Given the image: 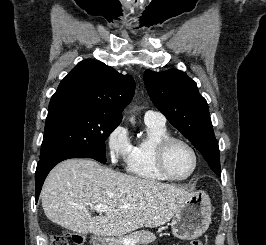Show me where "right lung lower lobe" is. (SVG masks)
I'll list each match as a JSON object with an SVG mask.
<instances>
[{
	"instance_id": "obj_1",
	"label": "right lung lower lobe",
	"mask_w": 266,
	"mask_h": 245,
	"mask_svg": "<svg viewBox=\"0 0 266 245\" xmlns=\"http://www.w3.org/2000/svg\"><path fill=\"white\" fill-rule=\"evenodd\" d=\"M70 158H90L85 155L77 154V153H71V152H60L55 153L52 155H49L43 159H40L37 165L36 173H35V182H36V193H35V199L36 203L39 198V194L42 188V185L44 183V180L47 176V174L50 172V170L59 162L70 159Z\"/></svg>"
}]
</instances>
